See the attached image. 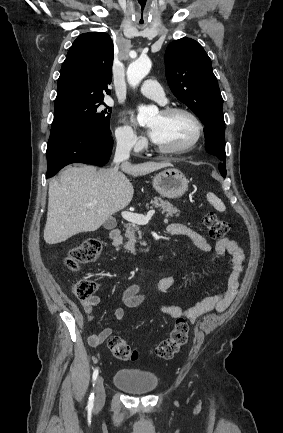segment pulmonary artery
I'll return each mask as SVG.
<instances>
[{"mask_svg":"<svg viewBox=\"0 0 283 433\" xmlns=\"http://www.w3.org/2000/svg\"><path fill=\"white\" fill-rule=\"evenodd\" d=\"M139 91L144 96L157 100L161 104L166 103V98L161 90L160 84L156 80L147 79L140 86Z\"/></svg>","mask_w":283,"mask_h":433,"instance_id":"obj_1","label":"pulmonary artery"}]
</instances>
